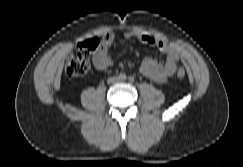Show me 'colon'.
Listing matches in <instances>:
<instances>
[{"mask_svg": "<svg viewBox=\"0 0 243 167\" xmlns=\"http://www.w3.org/2000/svg\"><path fill=\"white\" fill-rule=\"evenodd\" d=\"M102 40L98 37H92L80 42L66 63V74L71 77L82 76L90 69L91 58L93 53L98 50ZM186 73L184 69L177 71V77L183 79Z\"/></svg>", "mask_w": 243, "mask_h": 167, "instance_id": "1", "label": "colon"}]
</instances>
